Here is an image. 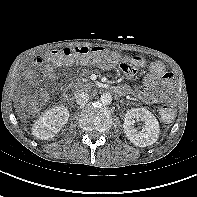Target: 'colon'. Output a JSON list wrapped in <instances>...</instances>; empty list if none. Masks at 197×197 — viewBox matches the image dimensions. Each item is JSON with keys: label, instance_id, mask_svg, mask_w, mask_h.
<instances>
[{"label": "colon", "instance_id": "5ec220e1", "mask_svg": "<svg viewBox=\"0 0 197 197\" xmlns=\"http://www.w3.org/2000/svg\"><path fill=\"white\" fill-rule=\"evenodd\" d=\"M47 59L53 63H71L74 60L86 63H103V62H118L119 56L115 52H110L103 47H66L61 50H52ZM140 58L135 59V64H139ZM41 62V60H40ZM126 63L122 62L121 67H125ZM134 66V65H133ZM135 68V67H134ZM161 117L164 121H171L175 116V110L171 106H163L160 111Z\"/></svg>", "mask_w": 197, "mask_h": 197}]
</instances>
